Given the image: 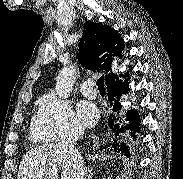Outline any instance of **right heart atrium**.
<instances>
[{"label":"right heart atrium","instance_id":"right-heart-atrium-1","mask_svg":"<svg viewBox=\"0 0 183 179\" xmlns=\"http://www.w3.org/2000/svg\"><path fill=\"white\" fill-rule=\"evenodd\" d=\"M82 129L68 102L53 94L42 98L39 112L32 123V133L35 137L57 141L66 135L81 132Z\"/></svg>","mask_w":183,"mask_h":179}]
</instances>
